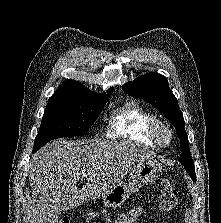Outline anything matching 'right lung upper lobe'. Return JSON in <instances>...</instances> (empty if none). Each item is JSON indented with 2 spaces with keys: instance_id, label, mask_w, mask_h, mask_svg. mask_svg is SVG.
Returning <instances> with one entry per match:
<instances>
[{
  "instance_id": "1",
  "label": "right lung upper lobe",
  "mask_w": 221,
  "mask_h": 223,
  "mask_svg": "<svg viewBox=\"0 0 221 223\" xmlns=\"http://www.w3.org/2000/svg\"><path fill=\"white\" fill-rule=\"evenodd\" d=\"M113 88H110L106 94H97L88 90L80 82L66 80L58 90L49 98L48 103L65 101H95L109 98Z\"/></svg>"
}]
</instances>
